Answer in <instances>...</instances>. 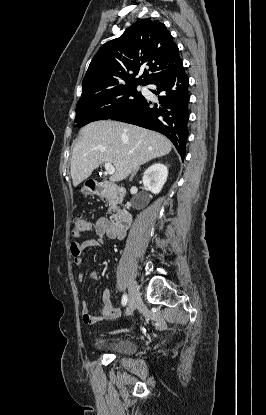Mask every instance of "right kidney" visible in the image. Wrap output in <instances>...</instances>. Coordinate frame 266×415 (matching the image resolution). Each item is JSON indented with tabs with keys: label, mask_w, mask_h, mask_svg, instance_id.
<instances>
[{
	"label": "right kidney",
	"mask_w": 266,
	"mask_h": 415,
	"mask_svg": "<svg viewBox=\"0 0 266 415\" xmlns=\"http://www.w3.org/2000/svg\"><path fill=\"white\" fill-rule=\"evenodd\" d=\"M168 176V168L161 163L150 166L143 174L142 182L154 194H159Z\"/></svg>",
	"instance_id": "1"
}]
</instances>
